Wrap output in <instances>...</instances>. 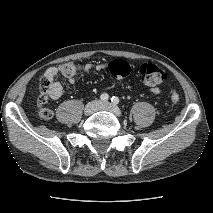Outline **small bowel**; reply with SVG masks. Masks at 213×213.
<instances>
[{"label": "small bowel", "instance_id": "1", "mask_svg": "<svg viewBox=\"0 0 213 213\" xmlns=\"http://www.w3.org/2000/svg\"><path fill=\"white\" fill-rule=\"evenodd\" d=\"M109 67L110 63L106 62H98L96 64L87 63L85 65V71L86 72H90L91 70L103 71ZM58 74L59 68L51 66L46 69L43 78V81L48 89L50 97L55 100L61 98L64 94L63 85L57 80ZM151 91L155 95L160 93V89L158 87H153Z\"/></svg>", "mask_w": 213, "mask_h": 213}]
</instances>
